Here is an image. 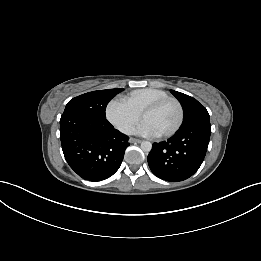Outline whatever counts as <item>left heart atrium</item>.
<instances>
[{"label":"left heart atrium","mask_w":261,"mask_h":261,"mask_svg":"<svg viewBox=\"0 0 261 261\" xmlns=\"http://www.w3.org/2000/svg\"><path fill=\"white\" fill-rule=\"evenodd\" d=\"M137 133L144 136H158L159 132L147 121L143 120L136 129Z\"/></svg>","instance_id":"39dd6f15"}]
</instances>
